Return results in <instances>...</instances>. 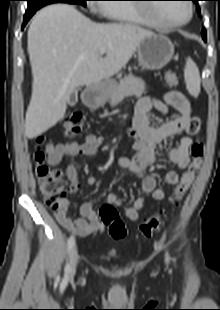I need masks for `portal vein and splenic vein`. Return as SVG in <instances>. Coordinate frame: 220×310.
Returning <instances> with one entry per match:
<instances>
[{
  "mask_svg": "<svg viewBox=\"0 0 220 310\" xmlns=\"http://www.w3.org/2000/svg\"><path fill=\"white\" fill-rule=\"evenodd\" d=\"M106 52L105 49H100V55H103Z\"/></svg>",
  "mask_w": 220,
  "mask_h": 310,
  "instance_id": "1",
  "label": "portal vein and splenic vein"
}]
</instances>
